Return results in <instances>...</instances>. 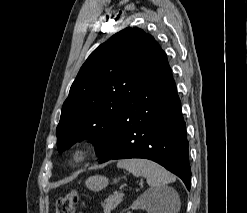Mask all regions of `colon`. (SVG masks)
<instances>
[{
	"label": "colon",
	"instance_id": "obj_1",
	"mask_svg": "<svg viewBox=\"0 0 247 213\" xmlns=\"http://www.w3.org/2000/svg\"><path fill=\"white\" fill-rule=\"evenodd\" d=\"M79 203L78 194L75 191H71L56 201L55 213H74Z\"/></svg>",
	"mask_w": 247,
	"mask_h": 213
}]
</instances>
